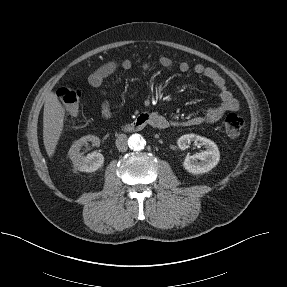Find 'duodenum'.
<instances>
[{"label": "duodenum", "mask_w": 287, "mask_h": 287, "mask_svg": "<svg viewBox=\"0 0 287 287\" xmlns=\"http://www.w3.org/2000/svg\"><path fill=\"white\" fill-rule=\"evenodd\" d=\"M157 118L152 114L144 113L136 117L132 122L124 125L126 131H139L144 129L146 126H156Z\"/></svg>", "instance_id": "obj_1"}]
</instances>
